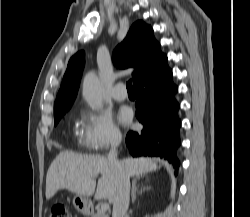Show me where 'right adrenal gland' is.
Here are the masks:
<instances>
[{"label":"right adrenal gland","instance_id":"obj_1","mask_svg":"<svg viewBox=\"0 0 250 217\" xmlns=\"http://www.w3.org/2000/svg\"><path fill=\"white\" fill-rule=\"evenodd\" d=\"M140 178L137 177L133 180L132 182V190H131V198H132V202H135L136 200V192H137V187H136V184H137V180H139ZM151 187L150 186H144L143 188H141V190L139 191V193H142V191H145V190H150Z\"/></svg>","mask_w":250,"mask_h":217}]
</instances>
